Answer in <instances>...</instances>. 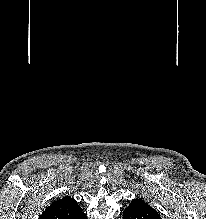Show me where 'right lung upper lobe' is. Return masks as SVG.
<instances>
[{
  "label": "right lung upper lobe",
  "mask_w": 206,
  "mask_h": 219,
  "mask_svg": "<svg viewBox=\"0 0 206 219\" xmlns=\"http://www.w3.org/2000/svg\"><path fill=\"white\" fill-rule=\"evenodd\" d=\"M77 202L69 196L54 201L43 211L39 219H85Z\"/></svg>",
  "instance_id": "right-lung-upper-lobe-1"
}]
</instances>
